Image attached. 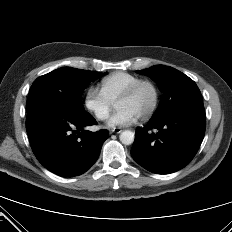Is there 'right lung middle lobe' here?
<instances>
[{"mask_svg": "<svg viewBox=\"0 0 232 232\" xmlns=\"http://www.w3.org/2000/svg\"><path fill=\"white\" fill-rule=\"evenodd\" d=\"M106 73L63 67L37 78L30 90L26 111L53 108L70 112H85L82 93L86 86Z\"/></svg>", "mask_w": 232, "mask_h": 232, "instance_id": "1", "label": "right lung middle lobe"}]
</instances>
